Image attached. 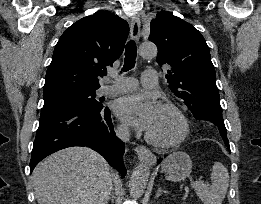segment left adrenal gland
<instances>
[{
	"mask_svg": "<svg viewBox=\"0 0 261 204\" xmlns=\"http://www.w3.org/2000/svg\"><path fill=\"white\" fill-rule=\"evenodd\" d=\"M162 193H168V192L165 190H162V188L159 187L157 190V193H156V198L159 197Z\"/></svg>",
	"mask_w": 261,
	"mask_h": 204,
	"instance_id": "a2214340",
	"label": "left adrenal gland"
}]
</instances>
